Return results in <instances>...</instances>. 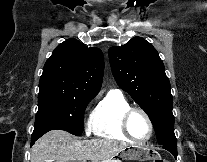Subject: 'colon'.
I'll use <instances>...</instances> for the list:
<instances>
[{
  "label": "colon",
  "mask_w": 207,
  "mask_h": 162,
  "mask_svg": "<svg viewBox=\"0 0 207 162\" xmlns=\"http://www.w3.org/2000/svg\"><path fill=\"white\" fill-rule=\"evenodd\" d=\"M153 162H167V161H165V160H155Z\"/></svg>",
  "instance_id": "1"
}]
</instances>
